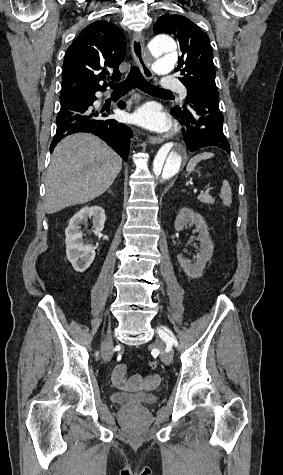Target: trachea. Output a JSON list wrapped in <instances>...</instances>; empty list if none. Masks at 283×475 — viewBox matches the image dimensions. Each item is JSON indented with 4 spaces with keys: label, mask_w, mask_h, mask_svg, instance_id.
Here are the masks:
<instances>
[{
    "label": "trachea",
    "mask_w": 283,
    "mask_h": 475,
    "mask_svg": "<svg viewBox=\"0 0 283 475\" xmlns=\"http://www.w3.org/2000/svg\"><path fill=\"white\" fill-rule=\"evenodd\" d=\"M110 87L113 89V92L127 93L132 88H139L143 92L149 94H164V95H173L170 90H164L163 88L155 87L143 77L140 69L137 66H132L131 70L125 80L120 83L110 82Z\"/></svg>",
    "instance_id": "obj_1"
}]
</instances>
